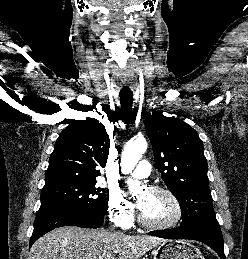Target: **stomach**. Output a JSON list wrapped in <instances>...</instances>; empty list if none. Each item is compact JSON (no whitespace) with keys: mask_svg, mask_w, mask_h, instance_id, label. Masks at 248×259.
<instances>
[{"mask_svg":"<svg viewBox=\"0 0 248 259\" xmlns=\"http://www.w3.org/2000/svg\"><path fill=\"white\" fill-rule=\"evenodd\" d=\"M154 259H204L200 250L185 241H166L153 251Z\"/></svg>","mask_w":248,"mask_h":259,"instance_id":"obj_1","label":"stomach"}]
</instances>
